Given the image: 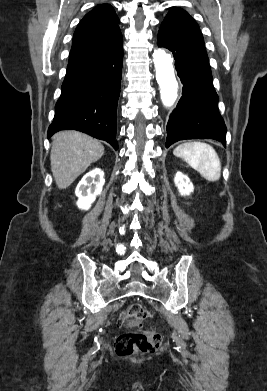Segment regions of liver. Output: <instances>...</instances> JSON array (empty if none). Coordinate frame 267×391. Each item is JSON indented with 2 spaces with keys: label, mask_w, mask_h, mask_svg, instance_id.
<instances>
[{
  "label": "liver",
  "mask_w": 267,
  "mask_h": 391,
  "mask_svg": "<svg viewBox=\"0 0 267 391\" xmlns=\"http://www.w3.org/2000/svg\"><path fill=\"white\" fill-rule=\"evenodd\" d=\"M104 154V146L96 139L77 131H62L53 136L50 153L51 171L59 189L75 179Z\"/></svg>",
  "instance_id": "6515ba94"
}]
</instances>
